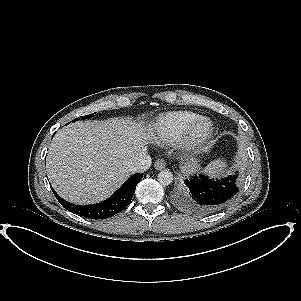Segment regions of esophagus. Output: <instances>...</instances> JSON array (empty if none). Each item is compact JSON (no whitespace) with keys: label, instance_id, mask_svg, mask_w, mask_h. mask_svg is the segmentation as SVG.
Wrapping results in <instances>:
<instances>
[{"label":"esophagus","instance_id":"34e87169","mask_svg":"<svg viewBox=\"0 0 301 301\" xmlns=\"http://www.w3.org/2000/svg\"><path fill=\"white\" fill-rule=\"evenodd\" d=\"M155 169L157 170H162L166 167V162L164 159H157L155 164H154Z\"/></svg>","mask_w":301,"mask_h":301}]
</instances>
